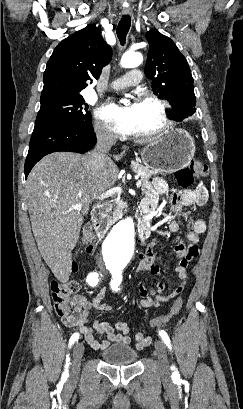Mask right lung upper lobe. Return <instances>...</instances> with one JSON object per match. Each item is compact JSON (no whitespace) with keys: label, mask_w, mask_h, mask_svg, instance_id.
<instances>
[{"label":"right lung upper lobe","mask_w":243,"mask_h":409,"mask_svg":"<svg viewBox=\"0 0 243 409\" xmlns=\"http://www.w3.org/2000/svg\"><path fill=\"white\" fill-rule=\"evenodd\" d=\"M112 57L95 25L75 32L54 49L44 72L41 101L80 95L87 81L98 79Z\"/></svg>","instance_id":"cb5924a9"}]
</instances>
